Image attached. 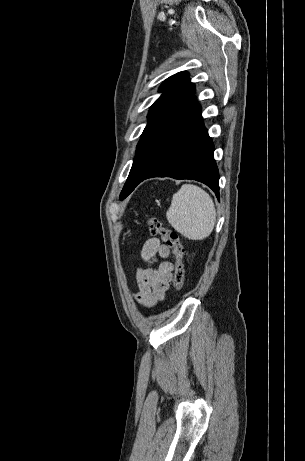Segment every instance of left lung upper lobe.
<instances>
[{
  "mask_svg": "<svg viewBox=\"0 0 305 461\" xmlns=\"http://www.w3.org/2000/svg\"><path fill=\"white\" fill-rule=\"evenodd\" d=\"M194 88V84L190 82L188 73L185 71L172 75L159 88L163 94L150 108L149 123L137 145L133 165L120 194V200L126 198L133 191L136 182L147 172L151 163V143L155 133L184 103Z\"/></svg>",
  "mask_w": 305,
  "mask_h": 461,
  "instance_id": "obj_1",
  "label": "left lung upper lobe"
}]
</instances>
